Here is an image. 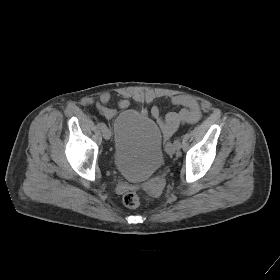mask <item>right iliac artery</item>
<instances>
[{
  "label": "right iliac artery",
  "mask_w": 280,
  "mask_h": 280,
  "mask_svg": "<svg viewBox=\"0 0 280 280\" xmlns=\"http://www.w3.org/2000/svg\"><path fill=\"white\" fill-rule=\"evenodd\" d=\"M97 127H98L99 129H103V128L106 127V125H105L103 122H98Z\"/></svg>",
  "instance_id": "obj_1"
}]
</instances>
